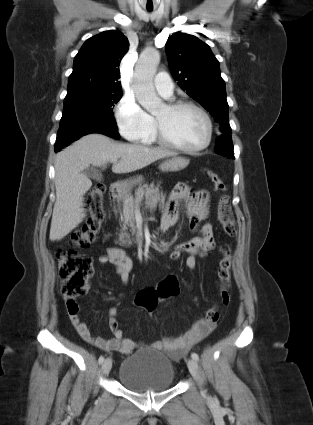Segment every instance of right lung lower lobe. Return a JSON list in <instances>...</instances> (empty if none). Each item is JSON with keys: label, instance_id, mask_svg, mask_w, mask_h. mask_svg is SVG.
Listing matches in <instances>:
<instances>
[{"label": "right lung lower lobe", "instance_id": "right-lung-lower-lobe-1", "mask_svg": "<svg viewBox=\"0 0 313 425\" xmlns=\"http://www.w3.org/2000/svg\"><path fill=\"white\" fill-rule=\"evenodd\" d=\"M91 133H100L113 138L120 137L114 116L79 109L63 111L55 143V152H59L71 142Z\"/></svg>", "mask_w": 313, "mask_h": 425}]
</instances>
